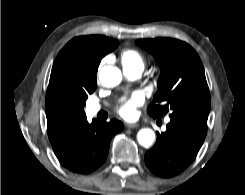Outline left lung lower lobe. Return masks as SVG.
Masks as SVG:
<instances>
[{"label":"left lung lower lobe","mask_w":245,"mask_h":195,"mask_svg":"<svg viewBox=\"0 0 245 195\" xmlns=\"http://www.w3.org/2000/svg\"><path fill=\"white\" fill-rule=\"evenodd\" d=\"M206 133L205 124L171 118L166 132L157 133L155 145L146 152V165L154 174L164 178L181 173L195 159Z\"/></svg>","instance_id":"1"}]
</instances>
